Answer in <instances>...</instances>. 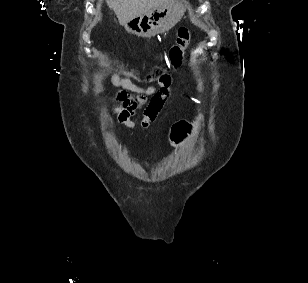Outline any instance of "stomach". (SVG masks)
I'll return each mask as SVG.
<instances>
[{
    "label": "stomach",
    "instance_id": "obj_1",
    "mask_svg": "<svg viewBox=\"0 0 308 283\" xmlns=\"http://www.w3.org/2000/svg\"><path fill=\"white\" fill-rule=\"evenodd\" d=\"M184 12L185 3L182 0H173L134 17L124 27L127 32L138 37L151 38L173 28L181 20Z\"/></svg>",
    "mask_w": 308,
    "mask_h": 283
}]
</instances>
